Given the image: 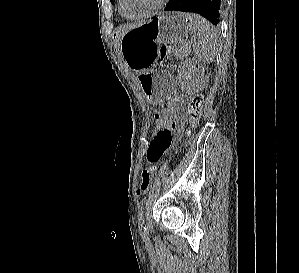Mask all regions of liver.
<instances>
[{"label": "liver", "mask_w": 299, "mask_h": 273, "mask_svg": "<svg viewBox=\"0 0 299 273\" xmlns=\"http://www.w3.org/2000/svg\"><path fill=\"white\" fill-rule=\"evenodd\" d=\"M146 22H135V23H129L126 25H123L119 28V31L117 33L116 39H115V45H116V49L118 51L119 54L120 53V40L121 38L125 35V33H127L128 31L141 27L142 25H144Z\"/></svg>", "instance_id": "obj_1"}]
</instances>
